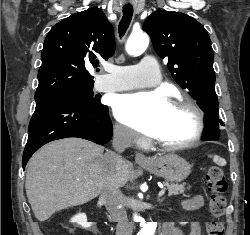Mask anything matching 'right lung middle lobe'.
<instances>
[{
	"label": "right lung middle lobe",
	"mask_w": 250,
	"mask_h": 235,
	"mask_svg": "<svg viewBox=\"0 0 250 235\" xmlns=\"http://www.w3.org/2000/svg\"><path fill=\"white\" fill-rule=\"evenodd\" d=\"M92 89L93 87H88L84 89H78V90L53 94V95H49L43 98H74V99L86 101L93 105L99 104L100 101L93 97L94 93Z\"/></svg>",
	"instance_id": "obj_1"
}]
</instances>
